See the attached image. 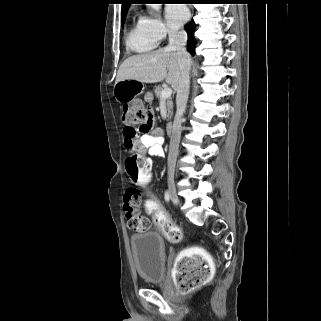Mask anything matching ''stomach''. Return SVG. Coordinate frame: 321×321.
Returning a JSON list of instances; mask_svg holds the SVG:
<instances>
[{"label":"stomach","mask_w":321,"mask_h":321,"mask_svg":"<svg viewBox=\"0 0 321 321\" xmlns=\"http://www.w3.org/2000/svg\"><path fill=\"white\" fill-rule=\"evenodd\" d=\"M144 85L136 80H123L115 83L114 97L119 103H127L143 92Z\"/></svg>","instance_id":"obj_1"}]
</instances>
